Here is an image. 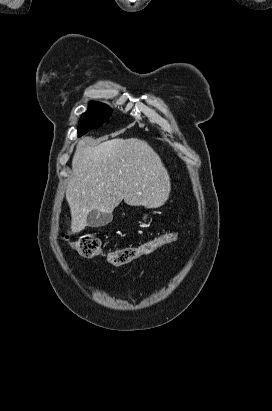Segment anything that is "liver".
I'll use <instances>...</instances> for the list:
<instances>
[{"label":"liver","mask_w":272,"mask_h":411,"mask_svg":"<svg viewBox=\"0 0 272 411\" xmlns=\"http://www.w3.org/2000/svg\"><path fill=\"white\" fill-rule=\"evenodd\" d=\"M66 189L71 232L87 226L90 211L111 214L122 200L130 206L159 208L169 198V174L159 155L137 138H115L97 146L77 144Z\"/></svg>","instance_id":"6515ba94"}]
</instances>
